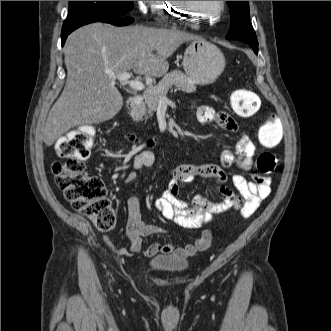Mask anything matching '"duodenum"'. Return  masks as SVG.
<instances>
[{
  "mask_svg": "<svg viewBox=\"0 0 331 331\" xmlns=\"http://www.w3.org/2000/svg\"><path fill=\"white\" fill-rule=\"evenodd\" d=\"M139 102H140V99L138 97H135V96L130 97L129 100L127 101V104L125 107V112L129 113L130 111L135 109L137 107V105L139 104ZM129 139L133 145H138L141 143V141L133 135ZM150 143H152V141H150Z\"/></svg>",
  "mask_w": 331,
  "mask_h": 331,
  "instance_id": "obj_1",
  "label": "duodenum"
}]
</instances>
